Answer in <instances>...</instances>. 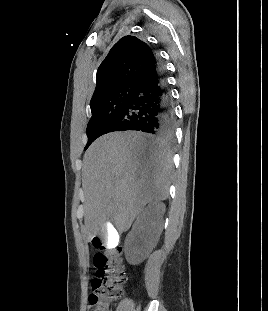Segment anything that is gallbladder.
Returning a JSON list of instances; mask_svg holds the SVG:
<instances>
[{
  "mask_svg": "<svg viewBox=\"0 0 268 311\" xmlns=\"http://www.w3.org/2000/svg\"><path fill=\"white\" fill-rule=\"evenodd\" d=\"M102 246L105 249H114L117 246L119 233L117 227H110L109 224H104L101 232Z\"/></svg>",
  "mask_w": 268,
  "mask_h": 311,
  "instance_id": "gallbladder-1",
  "label": "gallbladder"
}]
</instances>
